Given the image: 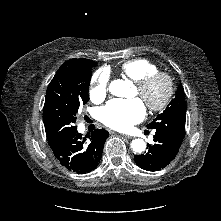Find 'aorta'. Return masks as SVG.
<instances>
[{
  "label": "aorta",
  "mask_w": 221,
  "mask_h": 221,
  "mask_svg": "<svg viewBox=\"0 0 221 221\" xmlns=\"http://www.w3.org/2000/svg\"><path fill=\"white\" fill-rule=\"evenodd\" d=\"M128 83L123 80H114L109 85V91L112 95L124 97ZM131 148L135 153H142L146 149V143L143 139H134L131 143Z\"/></svg>",
  "instance_id": "aorta-1"
}]
</instances>
